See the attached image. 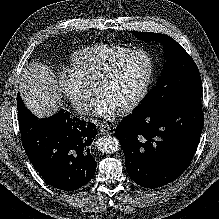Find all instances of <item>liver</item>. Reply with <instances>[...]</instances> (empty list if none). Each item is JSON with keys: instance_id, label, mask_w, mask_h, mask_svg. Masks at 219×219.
<instances>
[{"instance_id": "liver-1", "label": "liver", "mask_w": 219, "mask_h": 219, "mask_svg": "<svg viewBox=\"0 0 219 219\" xmlns=\"http://www.w3.org/2000/svg\"><path fill=\"white\" fill-rule=\"evenodd\" d=\"M24 104L38 118H48L62 105L54 73L44 64L30 62L18 78Z\"/></svg>"}]
</instances>
